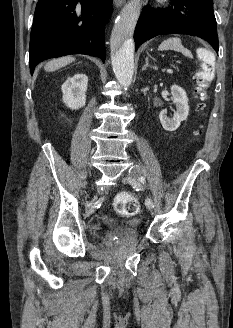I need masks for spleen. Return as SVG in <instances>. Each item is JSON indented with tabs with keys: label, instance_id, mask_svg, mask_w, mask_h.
<instances>
[{
	"label": "spleen",
	"instance_id": "obj_1",
	"mask_svg": "<svg viewBox=\"0 0 233 328\" xmlns=\"http://www.w3.org/2000/svg\"><path fill=\"white\" fill-rule=\"evenodd\" d=\"M160 51H163V50H174V51H177V52H180L182 53L184 56L186 57H189V58H192V53L189 49L185 48L182 43H181V39L178 38V37H171V38H168L166 40H164L159 48H158Z\"/></svg>",
	"mask_w": 233,
	"mask_h": 328
}]
</instances>
